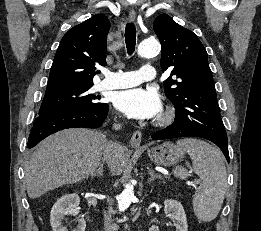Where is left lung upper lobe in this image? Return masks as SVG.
Returning <instances> with one entry per match:
<instances>
[{"mask_svg":"<svg viewBox=\"0 0 261 231\" xmlns=\"http://www.w3.org/2000/svg\"><path fill=\"white\" fill-rule=\"evenodd\" d=\"M153 27L162 46L161 68L171 71L163 84L175 107V121H184L212 138L227 140L206 49L192 31L167 14L158 16Z\"/></svg>","mask_w":261,"mask_h":231,"instance_id":"1","label":"left lung upper lobe"}]
</instances>
